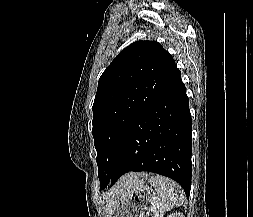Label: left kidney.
Segmentation results:
<instances>
[{"instance_id":"obj_1","label":"left kidney","mask_w":253,"mask_h":217,"mask_svg":"<svg viewBox=\"0 0 253 217\" xmlns=\"http://www.w3.org/2000/svg\"><path fill=\"white\" fill-rule=\"evenodd\" d=\"M167 217H184L182 214H180V213H172V214H170V215H168Z\"/></svg>"}]
</instances>
